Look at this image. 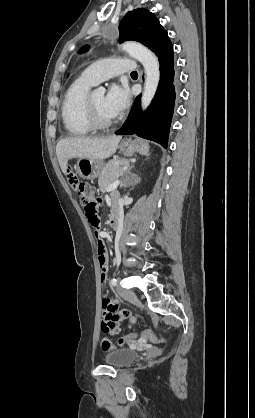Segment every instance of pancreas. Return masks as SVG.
<instances>
[{
	"label": "pancreas",
	"mask_w": 255,
	"mask_h": 418,
	"mask_svg": "<svg viewBox=\"0 0 255 418\" xmlns=\"http://www.w3.org/2000/svg\"><path fill=\"white\" fill-rule=\"evenodd\" d=\"M129 164L128 159H112L109 161L102 172L99 174L98 185L101 191H106V189L111 185L118 177L123 173V166Z\"/></svg>",
	"instance_id": "pancreas-1"
}]
</instances>
